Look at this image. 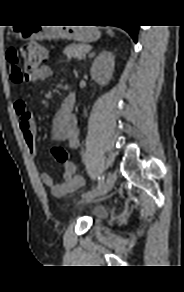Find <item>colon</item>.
<instances>
[{
    "label": "colon",
    "instance_id": "5ec220e1",
    "mask_svg": "<svg viewBox=\"0 0 184 292\" xmlns=\"http://www.w3.org/2000/svg\"><path fill=\"white\" fill-rule=\"evenodd\" d=\"M47 54L45 47L35 43L9 49L7 60L10 63L12 81L19 83L24 79H28L36 69L43 65L47 59ZM50 155L57 163L65 164L68 162V153L62 147H53Z\"/></svg>",
    "mask_w": 184,
    "mask_h": 292
}]
</instances>
